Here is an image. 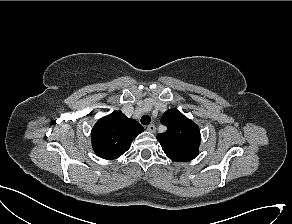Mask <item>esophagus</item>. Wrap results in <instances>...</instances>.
Wrapping results in <instances>:
<instances>
[{"label": "esophagus", "instance_id": "obj_1", "mask_svg": "<svg viewBox=\"0 0 292 224\" xmlns=\"http://www.w3.org/2000/svg\"><path fill=\"white\" fill-rule=\"evenodd\" d=\"M147 131L154 133L156 131V128L153 124H150L147 126Z\"/></svg>", "mask_w": 292, "mask_h": 224}]
</instances>
